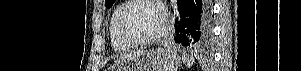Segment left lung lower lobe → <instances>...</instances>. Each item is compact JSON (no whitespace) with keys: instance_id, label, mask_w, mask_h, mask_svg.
Wrapping results in <instances>:
<instances>
[{"instance_id":"1","label":"left lung lower lobe","mask_w":301,"mask_h":71,"mask_svg":"<svg viewBox=\"0 0 301 71\" xmlns=\"http://www.w3.org/2000/svg\"><path fill=\"white\" fill-rule=\"evenodd\" d=\"M177 4L175 42L194 47H202L210 43L212 37L211 1L177 0Z\"/></svg>"}]
</instances>
